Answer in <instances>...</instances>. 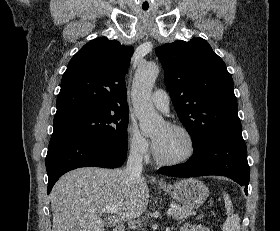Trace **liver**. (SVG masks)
Instances as JSON below:
<instances>
[{"instance_id": "liver-1", "label": "liver", "mask_w": 280, "mask_h": 231, "mask_svg": "<svg viewBox=\"0 0 280 231\" xmlns=\"http://www.w3.org/2000/svg\"><path fill=\"white\" fill-rule=\"evenodd\" d=\"M53 231H104L133 221L147 209L149 189L143 175L125 169L78 167L62 175L50 193ZM103 207L112 215L100 217Z\"/></svg>"}]
</instances>
